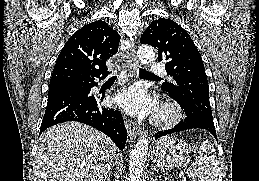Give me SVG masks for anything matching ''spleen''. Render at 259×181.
<instances>
[{
  "mask_svg": "<svg viewBox=\"0 0 259 181\" xmlns=\"http://www.w3.org/2000/svg\"><path fill=\"white\" fill-rule=\"evenodd\" d=\"M219 174L215 149L210 141L205 140L200 146L193 166L187 169L192 181H217Z\"/></svg>",
  "mask_w": 259,
  "mask_h": 181,
  "instance_id": "3e777b00",
  "label": "spleen"
}]
</instances>
